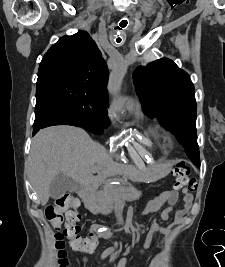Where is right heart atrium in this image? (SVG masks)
I'll return each mask as SVG.
<instances>
[{
  "instance_id": "right-heart-atrium-1",
  "label": "right heart atrium",
  "mask_w": 225,
  "mask_h": 267,
  "mask_svg": "<svg viewBox=\"0 0 225 267\" xmlns=\"http://www.w3.org/2000/svg\"><path fill=\"white\" fill-rule=\"evenodd\" d=\"M114 112H115L114 106L113 105H110L108 107V109H107L108 116H110V117L113 116Z\"/></svg>"
}]
</instances>
